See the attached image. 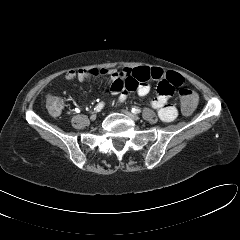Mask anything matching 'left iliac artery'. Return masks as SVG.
<instances>
[{"label": "left iliac artery", "instance_id": "left-iliac-artery-1", "mask_svg": "<svg viewBox=\"0 0 240 240\" xmlns=\"http://www.w3.org/2000/svg\"><path fill=\"white\" fill-rule=\"evenodd\" d=\"M131 111H132V113H134V114H139V113H141V109H139V108H137V107L132 108Z\"/></svg>", "mask_w": 240, "mask_h": 240}]
</instances>
